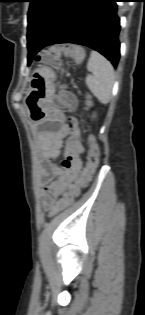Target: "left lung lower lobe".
Segmentation results:
<instances>
[{
    "label": "left lung lower lobe",
    "mask_w": 145,
    "mask_h": 315,
    "mask_svg": "<svg viewBox=\"0 0 145 315\" xmlns=\"http://www.w3.org/2000/svg\"><path fill=\"white\" fill-rule=\"evenodd\" d=\"M116 2L118 0H73L42 41L27 36L28 64L46 46L75 43L98 51L117 67L120 19Z\"/></svg>",
    "instance_id": "obj_1"
}]
</instances>
